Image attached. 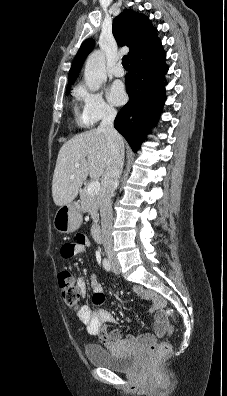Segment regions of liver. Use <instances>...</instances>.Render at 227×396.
Returning <instances> with one entry per match:
<instances>
[{
    "label": "liver",
    "mask_w": 227,
    "mask_h": 396,
    "mask_svg": "<svg viewBox=\"0 0 227 396\" xmlns=\"http://www.w3.org/2000/svg\"><path fill=\"white\" fill-rule=\"evenodd\" d=\"M121 146L124 141L121 137ZM109 159L106 136L98 129L78 134L60 148L52 182V196L56 206L70 204L89 175L103 176ZM79 163V167L75 164ZM73 177V178H72Z\"/></svg>",
    "instance_id": "liver-1"
}]
</instances>
